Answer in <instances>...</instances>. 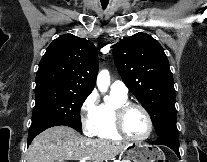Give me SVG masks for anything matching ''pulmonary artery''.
Listing matches in <instances>:
<instances>
[{
  "label": "pulmonary artery",
  "instance_id": "e3ab8cb5",
  "mask_svg": "<svg viewBox=\"0 0 207 162\" xmlns=\"http://www.w3.org/2000/svg\"><path fill=\"white\" fill-rule=\"evenodd\" d=\"M111 92L120 95V96H127L128 88L122 81H115L111 84Z\"/></svg>",
  "mask_w": 207,
  "mask_h": 162
}]
</instances>
